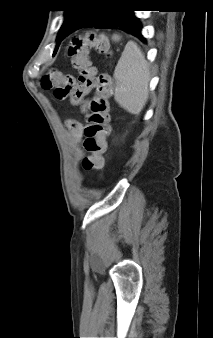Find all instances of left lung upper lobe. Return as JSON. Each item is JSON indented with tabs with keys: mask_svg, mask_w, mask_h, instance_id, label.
<instances>
[{
	"mask_svg": "<svg viewBox=\"0 0 213 338\" xmlns=\"http://www.w3.org/2000/svg\"><path fill=\"white\" fill-rule=\"evenodd\" d=\"M78 1V0H77ZM79 1H87V2H100V0H79ZM84 8H72L66 11L64 22L61 26V29L58 33L56 44V48L54 54L56 53L60 42L67 36V32L71 25L86 11Z\"/></svg>",
	"mask_w": 213,
	"mask_h": 338,
	"instance_id": "1",
	"label": "left lung upper lobe"
}]
</instances>
